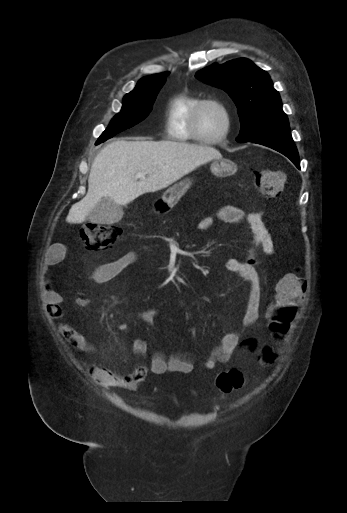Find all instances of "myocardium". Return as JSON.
Masks as SVG:
<instances>
[{
  "label": "myocardium",
  "instance_id": "myocardium-1",
  "mask_svg": "<svg viewBox=\"0 0 347 513\" xmlns=\"http://www.w3.org/2000/svg\"><path fill=\"white\" fill-rule=\"evenodd\" d=\"M209 104H214V105L218 106L222 110V112L224 113L225 120H226L224 131L219 136H217L215 138L203 137L200 134V131H199V128H198V116H199V113L201 112V110L206 105H209ZM232 121H233L232 120V113H231V110H230V108H229V106L227 104H225L224 102L219 101L217 99L205 98V99H202L196 105L195 109L192 112L191 121H190V130H191L193 136L195 138H197L201 143L208 144V145H214V144L220 143L221 141L225 140L228 137V135H229V133L231 131V128H232Z\"/></svg>",
  "mask_w": 347,
  "mask_h": 513
}]
</instances>
